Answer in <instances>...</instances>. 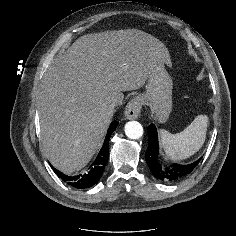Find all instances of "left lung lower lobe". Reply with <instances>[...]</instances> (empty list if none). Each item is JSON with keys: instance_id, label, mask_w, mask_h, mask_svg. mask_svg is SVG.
I'll list each match as a JSON object with an SVG mask.
<instances>
[{"instance_id": "obj_1", "label": "left lung lower lobe", "mask_w": 236, "mask_h": 236, "mask_svg": "<svg viewBox=\"0 0 236 236\" xmlns=\"http://www.w3.org/2000/svg\"><path fill=\"white\" fill-rule=\"evenodd\" d=\"M158 134L154 124H150L148 131V148L145 154L146 162L153 175L165 182H174L192 172L198 165L201 158L191 164H171L163 165L159 160Z\"/></svg>"}]
</instances>
